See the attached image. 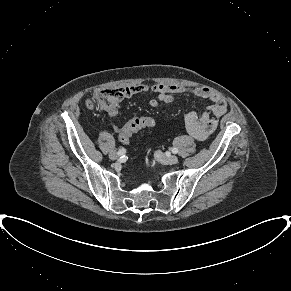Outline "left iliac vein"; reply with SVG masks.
Instances as JSON below:
<instances>
[{"label":"left iliac vein","mask_w":291,"mask_h":291,"mask_svg":"<svg viewBox=\"0 0 291 291\" xmlns=\"http://www.w3.org/2000/svg\"><path fill=\"white\" fill-rule=\"evenodd\" d=\"M155 159L164 164H176L178 163V157L175 155H165L161 151H156Z\"/></svg>","instance_id":"left-iliac-vein-1"}]
</instances>
